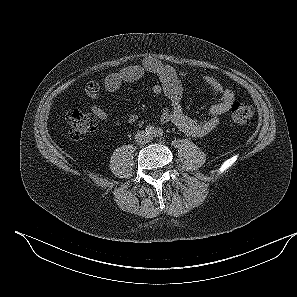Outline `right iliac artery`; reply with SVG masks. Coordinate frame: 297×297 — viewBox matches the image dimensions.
<instances>
[{"instance_id": "1", "label": "right iliac artery", "mask_w": 297, "mask_h": 297, "mask_svg": "<svg viewBox=\"0 0 297 297\" xmlns=\"http://www.w3.org/2000/svg\"><path fill=\"white\" fill-rule=\"evenodd\" d=\"M145 131H146V133H147L148 135H152V134H154V132H155L154 127L151 126V125H148V126L146 127Z\"/></svg>"}]
</instances>
